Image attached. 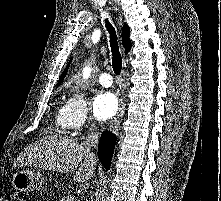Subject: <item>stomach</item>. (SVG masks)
Instances as JSON below:
<instances>
[{
	"label": "stomach",
	"mask_w": 221,
	"mask_h": 201,
	"mask_svg": "<svg viewBox=\"0 0 221 201\" xmlns=\"http://www.w3.org/2000/svg\"><path fill=\"white\" fill-rule=\"evenodd\" d=\"M44 177L41 172L33 169L17 170L11 180L12 187L19 192H33L42 188Z\"/></svg>",
	"instance_id": "stomach-1"
}]
</instances>
